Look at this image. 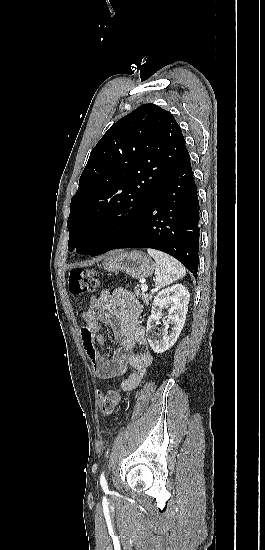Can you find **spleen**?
I'll list each match as a JSON object with an SVG mask.
<instances>
[{
	"label": "spleen",
	"instance_id": "obj_1",
	"mask_svg": "<svg viewBox=\"0 0 265 550\" xmlns=\"http://www.w3.org/2000/svg\"><path fill=\"white\" fill-rule=\"evenodd\" d=\"M147 252L156 261L155 286L157 288H163L185 276V268L173 257L154 249H147Z\"/></svg>",
	"mask_w": 265,
	"mask_h": 550
}]
</instances>
